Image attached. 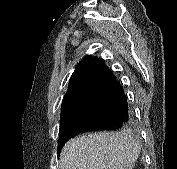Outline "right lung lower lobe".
Wrapping results in <instances>:
<instances>
[{"mask_svg": "<svg viewBox=\"0 0 177 169\" xmlns=\"http://www.w3.org/2000/svg\"><path fill=\"white\" fill-rule=\"evenodd\" d=\"M86 90L88 103L76 116L60 124L58 153L78 133L113 130L122 127L131 118L123 88L107 66L88 80Z\"/></svg>", "mask_w": 177, "mask_h": 169, "instance_id": "1", "label": "right lung lower lobe"}]
</instances>
